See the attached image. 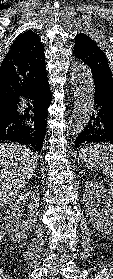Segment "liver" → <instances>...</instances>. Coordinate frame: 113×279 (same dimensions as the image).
Masks as SVG:
<instances>
[{"instance_id": "6515ba94", "label": "liver", "mask_w": 113, "mask_h": 279, "mask_svg": "<svg viewBox=\"0 0 113 279\" xmlns=\"http://www.w3.org/2000/svg\"><path fill=\"white\" fill-rule=\"evenodd\" d=\"M38 154L20 144H0V207L13 202L32 178Z\"/></svg>"}]
</instances>
